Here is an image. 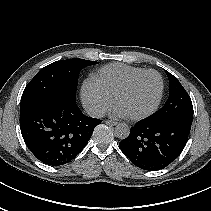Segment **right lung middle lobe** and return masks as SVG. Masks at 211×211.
<instances>
[{"label":"right lung middle lobe","mask_w":211,"mask_h":211,"mask_svg":"<svg viewBox=\"0 0 211 211\" xmlns=\"http://www.w3.org/2000/svg\"><path fill=\"white\" fill-rule=\"evenodd\" d=\"M96 61L67 59L42 68L27 84L20 108L49 99L75 101L79 72Z\"/></svg>","instance_id":"1"}]
</instances>
